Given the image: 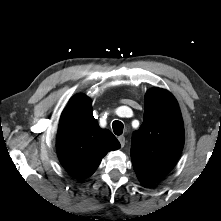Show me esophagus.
<instances>
[{
	"mask_svg": "<svg viewBox=\"0 0 221 221\" xmlns=\"http://www.w3.org/2000/svg\"><path fill=\"white\" fill-rule=\"evenodd\" d=\"M118 140H119V142L121 144V147H124V145H125V137L124 136H119Z\"/></svg>",
	"mask_w": 221,
	"mask_h": 221,
	"instance_id": "esophagus-1",
	"label": "esophagus"
}]
</instances>
